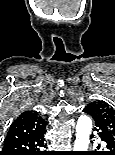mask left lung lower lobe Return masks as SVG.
Here are the masks:
<instances>
[{
    "label": "left lung lower lobe",
    "instance_id": "0a47b994",
    "mask_svg": "<svg viewBox=\"0 0 115 155\" xmlns=\"http://www.w3.org/2000/svg\"><path fill=\"white\" fill-rule=\"evenodd\" d=\"M83 111L90 114L94 118L95 130L99 132V136L101 137V140L106 142V144H107L106 147H110L113 142L110 140L108 133L104 129L103 123L98 118L95 109L92 106H86ZM86 155H90V154H86ZM101 155H105V153H103ZM112 155H115V154H112Z\"/></svg>",
    "mask_w": 115,
    "mask_h": 155
}]
</instances>
